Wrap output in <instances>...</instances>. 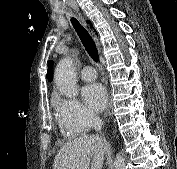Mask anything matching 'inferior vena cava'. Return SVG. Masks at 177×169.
<instances>
[{
    "mask_svg": "<svg viewBox=\"0 0 177 169\" xmlns=\"http://www.w3.org/2000/svg\"><path fill=\"white\" fill-rule=\"evenodd\" d=\"M91 123L96 132H100L102 129L103 122L97 116H91Z\"/></svg>",
    "mask_w": 177,
    "mask_h": 169,
    "instance_id": "1",
    "label": "inferior vena cava"
}]
</instances>
